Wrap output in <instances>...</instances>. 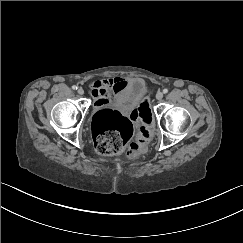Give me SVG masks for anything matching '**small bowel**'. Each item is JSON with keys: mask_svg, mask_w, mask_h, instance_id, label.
Returning <instances> with one entry per match:
<instances>
[{"mask_svg": "<svg viewBox=\"0 0 243 243\" xmlns=\"http://www.w3.org/2000/svg\"><path fill=\"white\" fill-rule=\"evenodd\" d=\"M126 84V80L121 77L96 80L92 83L91 94L95 99L94 104L100 106L109 101L112 94H117Z\"/></svg>", "mask_w": 243, "mask_h": 243, "instance_id": "obj_1", "label": "small bowel"}]
</instances>
